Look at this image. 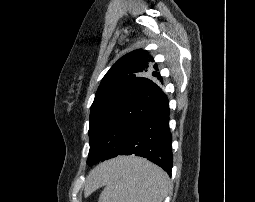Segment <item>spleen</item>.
I'll use <instances>...</instances> for the list:
<instances>
[{"mask_svg":"<svg viewBox=\"0 0 255 202\" xmlns=\"http://www.w3.org/2000/svg\"><path fill=\"white\" fill-rule=\"evenodd\" d=\"M169 184L168 175L146 159L119 157L100 168L95 186H105L98 202H162Z\"/></svg>","mask_w":255,"mask_h":202,"instance_id":"obj_1","label":"spleen"}]
</instances>
